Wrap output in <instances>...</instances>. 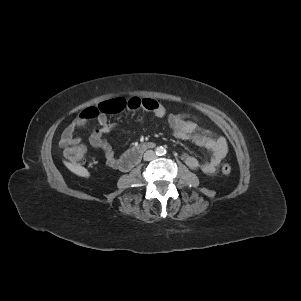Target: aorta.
Masks as SVG:
<instances>
[{
	"instance_id": "1",
	"label": "aorta",
	"mask_w": 301,
	"mask_h": 301,
	"mask_svg": "<svg viewBox=\"0 0 301 301\" xmlns=\"http://www.w3.org/2000/svg\"><path fill=\"white\" fill-rule=\"evenodd\" d=\"M166 153V150L164 147H157L156 148V154L161 156V155H164Z\"/></svg>"
}]
</instances>
